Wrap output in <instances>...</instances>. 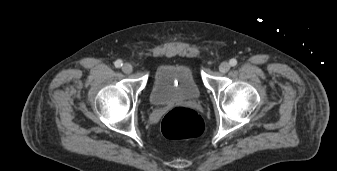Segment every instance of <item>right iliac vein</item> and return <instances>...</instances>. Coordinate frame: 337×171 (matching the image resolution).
<instances>
[{
	"instance_id": "63e3f726",
	"label": "right iliac vein",
	"mask_w": 337,
	"mask_h": 171,
	"mask_svg": "<svg viewBox=\"0 0 337 171\" xmlns=\"http://www.w3.org/2000/svg\"><path fill=\"white\" fill-rule=\"evenodd\" d=\"M122 71L126 74H129L132 72V66L131 64L129 63H125L123 66H122Z\"/></svg>"
}]
</instances>
